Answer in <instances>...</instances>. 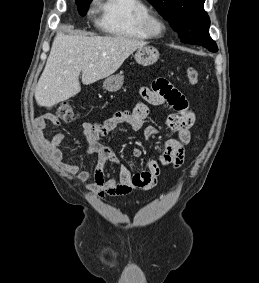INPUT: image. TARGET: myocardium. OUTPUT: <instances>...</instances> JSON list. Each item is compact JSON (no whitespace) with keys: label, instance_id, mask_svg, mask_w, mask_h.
<instances>
[{"label":"myocardium","instance_id":"f54148a6","mask_svg":"<svg viewBox=\"0 0 259 283\" xmlns=\"http://www.w3.org/2000/svg\"><path fill=\"white\" fill-rule=\"evenodd\" d=\"M160 26V31L156 30V26ZM144 28L150 37L159 39L164 37L168 24L165 18L155 11H149L144 18Z\"/></svg>","mask_w":259,"mask_h":283}]
</instances>
